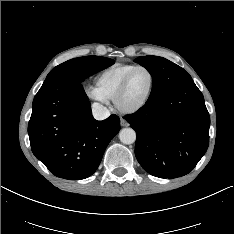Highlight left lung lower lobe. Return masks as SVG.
Instances as JSON below:
<instances>
[{
    "mask_svg": "<svg viewBox=\"0 0 234 234\" xmlns=\"http://www.w3.org/2000/svg\"><path fill=\"white\" fill-rule=\"evenodd\" d=\"M125 119L136 131L135 155L159 178L188 174L209 145L210 117L192 79L181 82Z\"/></svg>",
    "mask_w": 234,
    "mask_h": 234,
    "instance_id": "obj_1",
    "label": "left lung lower lobe"
}]
</instances>
